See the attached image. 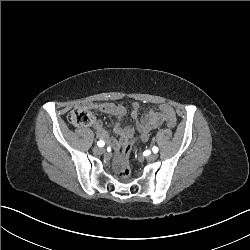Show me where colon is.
I'll list each match as a JSON object with an SVG mask.
<instances>
[{
    "mask_svg": "<svg viewBox=\"0 0 250 250\" xmlns=\"http://www.w3.org/2000/svg\"><path fill=\"white\" fill-rule=\"evenodd\" d=\"M94 117L93 115L84 108H74L68 114V121L71 125L75 127H87L93 123ZM166 126L170 128L176 127V122L173 119L166 121ZM132 147L129 144H126L123 147L122 153L120 154V164L122 165V169L120 172L121 178L127 179L130 175V170L127 167L129 164V157L131 153Z\"/></svg>",
    "mask_w": 250,
    "mask_h": 250,
    "instance_id": "obj_1",
    "label": "colon"
}]
</instances>
